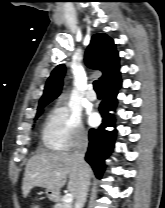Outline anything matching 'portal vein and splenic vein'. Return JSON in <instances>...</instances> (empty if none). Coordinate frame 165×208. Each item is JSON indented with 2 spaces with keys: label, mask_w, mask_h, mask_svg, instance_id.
<instances>
[{
  "label": "portal vein and splenic vein",
  "mask_w": 165,
  "mask_h": 208,
  "mask_svg": "<svg viewBox=\"0 0 165 208\" xmlns=\"http://www.w3.org/2000/svg\"><path fill=\"white\" fill-rule=\"evenodd\" d=\"M56 176H59V174H56ZM63 202L70 204L73 202V195L71 193H67L64 197H63Z\"/></svg>",
  "instance_id": "obj_1"
}]
</instances>
